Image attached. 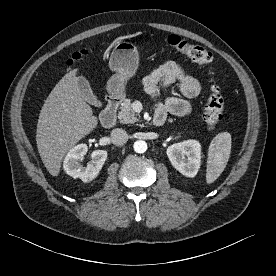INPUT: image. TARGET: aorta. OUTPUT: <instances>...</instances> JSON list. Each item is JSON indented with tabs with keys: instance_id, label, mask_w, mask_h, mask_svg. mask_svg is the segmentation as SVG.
<instances>
[{
	"instance_id": "1",
	"label": "aorta",
	"mask_w": 276,
	"mask_h": 276,
	"mask_svg": "<svg viewBox=\"0 0 276 276\" xmlns=\"http://www.w3.org/2000/svg\"><path fill=\"white\" fill-rule=\"evenodd\" d=\"M134 151L136 153H144L147 150V143L143 140H137L133 145Z\"/></svg>"
}]
</instances>
